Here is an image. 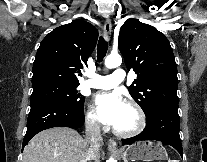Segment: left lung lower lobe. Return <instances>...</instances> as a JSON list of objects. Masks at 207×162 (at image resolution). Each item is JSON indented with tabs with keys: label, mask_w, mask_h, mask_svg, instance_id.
<instances>
[{
	"label": "left lung lower lobe",
	"mask_w": 207,
	"mask_h": 162,
	"mask_svg": "<svg viewBox=\"0 0 207 162\" xmlns=\"http://www.w3.org/2000/svg\"><path fill=\"white\" fill-rule=\"evenodd\" d=\"M146 118L147 126L144 131L135 137L122 139V143L125 145L140 140L161 141L163 144L174 147L183 156L179 135L178 104H159Z\"/></svg>",
	"instance_id": "0a47b994"
}]
</instances>
